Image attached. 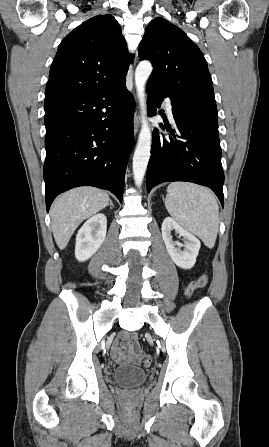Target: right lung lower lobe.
<instances>
[{"mask_svg":"<svg viewBox=\"0 0 269 447\" xmlns=\"http://www.w3.org/2000/svg\"><path fill=\"white\" fill-rule=\"evenodd\" d=\"M125 84L123 78L90 92L46 97L47 211L58 194L78 186L109 190L122 202L135 107Z\"/></svg>","mask_w":269,"mask_h":447,"instance_id":"right-lung-lower-lobe-1","label":"right lung lower lobe"}]
</instances>
